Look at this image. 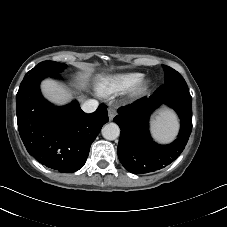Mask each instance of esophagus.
Masks as SVG:
<instances>
[{
	"label": "esophagus",
	"mask_w": 227,
	"mask_h": 227,
	"mask_svg": "<svg viewBox=\"0 0 227 227\" xmlns=\"http://www.w3.org/2000/svg\"><path fill=\"white\" fill-rule=\"evenodd\" d=\"M116 110L113 109V108H109L108 109V117H109V120L112 121L116 115Z\"/></svg>",
	"instance_id": "obj_1"
}]
</instances>
